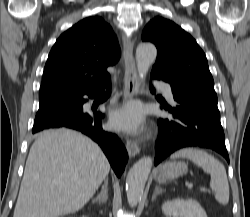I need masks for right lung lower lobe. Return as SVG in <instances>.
Listing matches in <instances>:
<instances>
[{
  "label": "right lung lower lobe",
  "instance_id": "98d812e1",
  "mask_svg": "<svg viewBox=\"0 0 250 217\" xmlns=\"http://www.w3.org/2000/svg\"><path fill=\"white\" fill-rule=\"evenodd\" d=\"M104 87H110V82L95 91L87 93L90 98H96ZM78 108L71 112L54 115L33 126L32 133L49 128H70L82 132L97 142L107 156L114 172L118 177L124 171L128 155L124 145L117 135L102 130V113L86 112L83 104L87 101L83 95L73 98Z\"/></svg>",
  "mask_w": 250,
  "mask_h": 217
}]
</instances>
